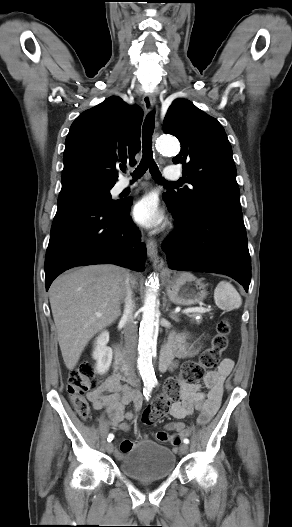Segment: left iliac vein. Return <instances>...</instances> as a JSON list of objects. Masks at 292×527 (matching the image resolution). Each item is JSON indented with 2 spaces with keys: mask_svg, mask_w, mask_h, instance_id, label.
<instances>
[{
  "mask_svg": "<svg viewBox=\"0 0 292 527\" xmlns=\"http://www.w3.org/2000/svg\"><path fill=\"white\" fill-rule=\"evenodd\" d=\"M188 450H189V448H188V445H187V444H182V445L180 446V453H181V454H183V455H184V454H187V453H188Z\"/></svg>",
  "mask_w": 292,
  "mask_h": 527,
  "instance_id": "obj_1",
  "label": "left iliac vein"
}]
</instances>
